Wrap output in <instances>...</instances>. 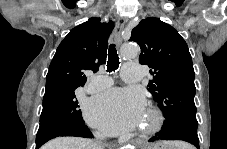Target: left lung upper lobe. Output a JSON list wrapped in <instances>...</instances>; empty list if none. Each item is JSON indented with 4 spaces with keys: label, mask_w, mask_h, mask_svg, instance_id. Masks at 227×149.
I'll list each match as a JSON object with an SVG mask.
<instances>
[{
    "label": "left lung upper lobe",
    "mask_w": 227,
    "mask_h": 149,
    "mask_svg": "<svg viewBox=\"0 0 227 149\" xmlns=\"http://www.w3.org/2000/svg\"><path fill=\"white\" fill-rule=\"evenodd\" d=\"M130 41L141 48L139 62L151 68L148 90L166 119L196 118L194 69L182 36L159 18L147 17L133 30Z\"/></svg>",
    "instance_id": "left-lung-upper-lobe-1"
}]
</instances>
